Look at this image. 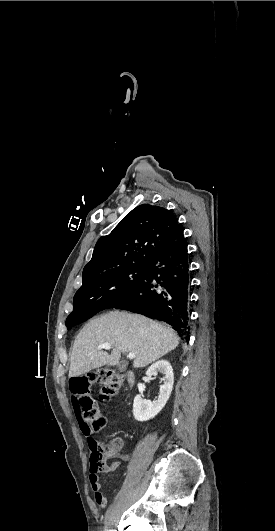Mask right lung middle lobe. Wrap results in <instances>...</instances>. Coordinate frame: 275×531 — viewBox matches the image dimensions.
I'll return each instance as SVG.
<instances>
[{
    "label": "right lung middle lobe",
    "mask_w": 275,
    "mask_h": 531,
    "mask_svg": "<svg viewBox=\"0 0 275 531\" xmlns=\"http://www.w3.org/2000/svg\"><path fill=\"white\" fill-rule=\"evenodd\" d=\"M146 266H131L105 273L76 292L73 312L67 317L66 327L80 324L96 313L125 301L141 282Z\"/></svg>",
    "instance_id": "1"
}]
</instances>
